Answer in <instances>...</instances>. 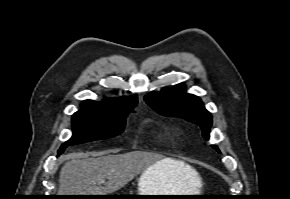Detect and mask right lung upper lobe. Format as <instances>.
Returning a JSON list of instances; mask_svg holds the SVG:
<instances>
[{
    "instance_id": "1",
    "label": "right lung upper lobe",
    "mask_w": 290,
    "mask_h": 199,
    "mask_svg": "<svg viewBox=\"0 0 290 199\" xmlns=\"http://www.w3.org/2000/svg\"><path fill=\"white\" fill-rule=\"evenodd\" d=\"M137 100L136 96L119 99H105L103 102L86 100L81 104L82 109L78 112L98 115H116L132 111Z\"/></svg>"
}]
</instances>
